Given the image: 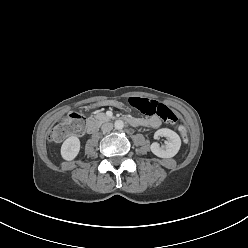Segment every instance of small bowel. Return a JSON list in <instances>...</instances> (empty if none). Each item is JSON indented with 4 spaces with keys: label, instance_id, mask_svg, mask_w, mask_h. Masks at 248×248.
Here are the masks:
<instances>
[{
    "label": "small bowel",
    "instance_id": "small-bowel-1",
    "mask_svg": "<svg viewBox=\"0 0 248 248\" xmlns=\"http://www.w3.org/2000/svg\"><path fill=\"white\" fill-rule=\"evenodd\" d=\"M139 121H140V124L148 126L149 128H152V129L158 128L161 124V121L157 116H151L147 119H143Z\"/></svg>",
    "mask_w": 248,
    "mask_h": 248
}]
</instances>
